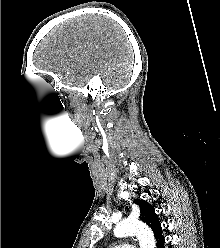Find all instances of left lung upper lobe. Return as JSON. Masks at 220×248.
Instances as JSON below:
<instances>
[{
    "label": "left lung upper lobe",
    "mask_w": 220,
    "mask_h": 248,
    "mask_svg": "<svg viewBox=\"0 0 220 248\" xmlns=\"http://www.w3.org/2000/svg\"><path fill=\"white\" fill-rule=\"evenodd\" d=\"M134 203H136L140 207V219L151 227L154 232V235L156 236V234L162 228L153 206H151L146 201L140 199H135Z\"/></svg>",
    "instance_id": "5c2ea615"
}]
</instances>
